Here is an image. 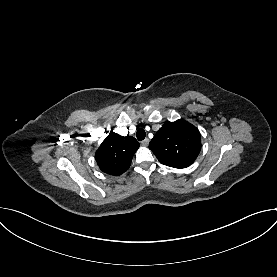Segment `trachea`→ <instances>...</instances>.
Listing matches in <instances>:
<instances>
[{"instance_id": "trachea-1", "label": "trachea", "mask_w": 277, "mask_h": 277, "mask_svg": "<svg viewBox=\"0 0 277 277\" xmlns=\"http://www.w3.org/2000/svg\"><path fill=\"white\" fill-rule=\"evenodd\" d=\"M145 136H146V133H145L144 129L140 128L137 130L136 137L139 141L144 140Z\"/></svg>"}]
</instances>
